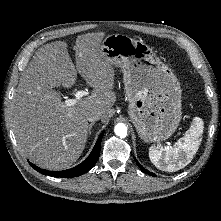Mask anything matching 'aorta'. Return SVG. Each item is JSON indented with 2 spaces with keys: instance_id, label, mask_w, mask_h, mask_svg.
Here are the masks:
<instances>
[{
  "instance_id": "obj_1",
  "label": "aorta",
  "mask_w": 221,
  "mask_h": 221,
  "mask_svg": "<svg viewBox=\"0 0 221 221\" xmlns=\"http://www.w3.org/2000/svg\"><path fill=\"white\" fill-rule=\"evenodd\" d=\"M114 132L118 137L125 138L127 136V127L124 123H118L114 128Z\"/></svg>"
}]
</instances>
